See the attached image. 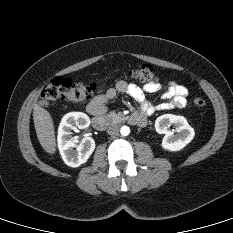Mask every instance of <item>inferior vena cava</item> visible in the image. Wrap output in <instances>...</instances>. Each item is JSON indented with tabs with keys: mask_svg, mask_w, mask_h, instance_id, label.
I'll return each instance as SVG.
<instances>
[{
	"mask_svg": "<svg viewBox=\"0 0 233 233\" xmlns=\"http://www.w3.org/2000/svg\"><path fill=\"white\" fill-rule=\"evenodd\" d=\"M107 133L112 136L117 135L119 133V126L117 124H111L107 128Z\"/></svg>",
	"mask_w": 233,
	"mask_h": 233,
	"instance_id": "1",
	"label": "inferior vena cava"
}]
</instances>
